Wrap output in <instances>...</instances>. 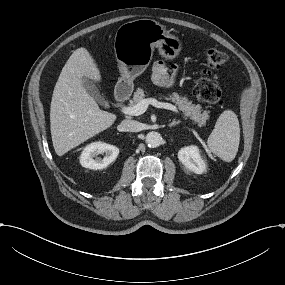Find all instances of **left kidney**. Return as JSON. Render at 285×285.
Segmentation results:
<instances>
[{
	"label": "left kidney",
	"mask_w": 285,
	"mask_h": 285,
	"mask_svg": "<svg viewBox=\"0 0 285 285\" xmlns=\"http://www.w3.org/2000/svg\"><path fill=\"white\" fill-rule=\"evenodd\" d=\"M178 157L182 164L192 172L200 174L204 171L205 164L200 159L195 147H188L180 150Z\"/></svg>",
	"instance_id": "left-kidney-1"
}]
</instances>
